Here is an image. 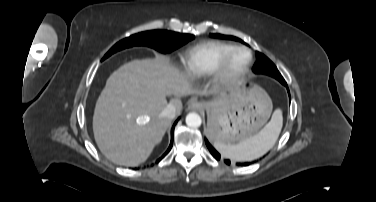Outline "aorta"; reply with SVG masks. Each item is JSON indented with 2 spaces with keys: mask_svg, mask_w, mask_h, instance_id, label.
<instances>
[{
  "mask_svg": "<svg viewBox=\"0 0 376 202\" xmlns=\"http://www.w3.org/2000/svg\"><path fill=\"white\" fill-rule=\"evenodd\" d=\"M186 124L191 128L200 127L202 124V119L199 114L195 112L188 113L186 116Z\"/></svg>",
  "mask_w": 376,
  "mask_h": 202,
  "instance_id": "1",
  "label": "aorta"
}]
</instances>
